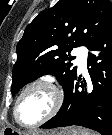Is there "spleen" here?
<instances>
[{"instance_id": "spleen-1", "label": "spleen", "mask_w": 112, "mask_h": 135, "mask_svg": "<svg viewBox=\"0 0 112 135\" xmlns=\"http://www.w3.org/2000/svg\"><path fill=\"white\" fill-rule=\"evenodd\" d=\"M80 135H97V134H95V133H90L89 131H86V130H82V131L80 132Z\"/></svg>"}]
</instances>
